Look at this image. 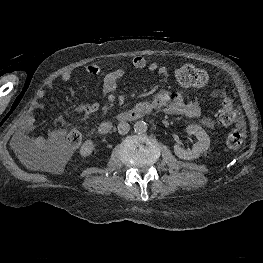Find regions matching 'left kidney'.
Here are the masks:
<instances>
[{"mask_svg": "<svg viewBox=\"0 0 263 263\" xmlns=\"http://www.w3.org/2000/svg\"><path fill=\"white\" fill-rule=\"evenodd\" d=\"M186 132L189 135H194L198 142L194 143L191 150H185L180 143L174 145V153L177 157L184 160H194L200 156L201 153L208 150L210 147V138L206 131L199 125H188Z\"/></svg>", "mask_w": 263, "mask_h": 263, "instance_id": "left-kidney-1", "label": "left kidney"}]
</instances>
